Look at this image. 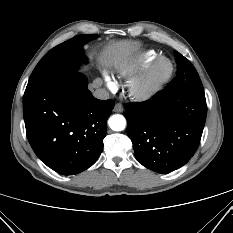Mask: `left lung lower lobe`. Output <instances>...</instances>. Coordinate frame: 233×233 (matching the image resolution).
I'll use <instances>...</instances> for the list:
<instances>
[{"mask_svg":"<svg viewBox=\"0 0 233 233\" xmlns=\"http://www.w3.org/2000/svg\"><path fill=\"white\" fill-rule=\"evenodd\" d=\"M127 134L136 159L146 168L169 173L194 155L205 125L204 94L167 91L126 105Z\"/></svg>","mask_w":233,"mask_h":233,"instance_id":"1","label":"left lung lower lobe"}]
</instances>
